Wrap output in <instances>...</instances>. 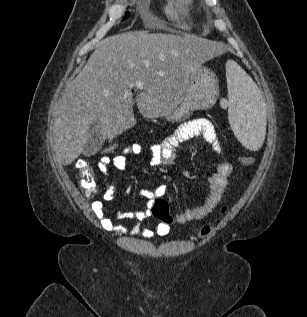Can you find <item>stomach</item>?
Returning a JSON list of instances; mask_svg holds the SVG:
<instances>
[{
  "instance_id": "obj_1",
  "label": "stomach",
  "mask_w": 307,
  "mask_h": 317,
  "mask_svg": "<svg viewBox=\"0 0 307 317\" xmlns=\"http://www.w3.org/2000/svg\"><path fill=\"white\" fill-rule=\"evenodd\" d=\"M218 95L219 85L215 74L207 67L200 66L190 74L187 88L173 109L160 114L159 117L180 122L193 110L211 107Z\"/></svg>"
}]
</instances>
